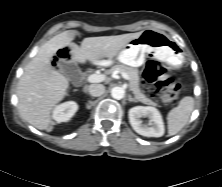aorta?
I'll list each match as a JSON object with an SVG mask.
<instances>
[{
    "mask_svg": "<svg viewBox=\"0 0 222 187\" xmlns=\"http://www.w3.org/2000/svg\"><path fill=\"white\" fill-rule=\"evenodd\" d=\"M111 96L114 99L120 100L125 96V90L119 86L113 87L111 90Z\"/></svg>",
    "mask_w": 222,
    "mask_h": 187,
    "instance_id": "obj_1",
    "label": "aorta"
}]
</instances>
